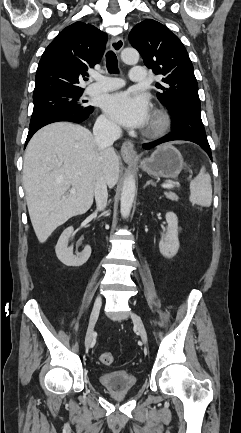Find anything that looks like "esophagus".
<instances>
[{
    "mask_svg": "<svg viewBox=\"0 0 241 433\" xmlns=\"http://www.w3.org/2000/svg\"><path fill=\"white\" fill-rule=\"evenodd\" d=\"M124 47V40L122 37H116L112 38L110 42V49L116 53H120L121 50ZM121 156L125 160H131L136 158V152L134 149V144L132 141L127 140L124 141L121 150H120Z\"/></svg>",
    "mask_w": 241,
    "mask_h": 433,
    "instance_id": "esophagus-1",
    "label": "esophagus"
}]
</instances>
